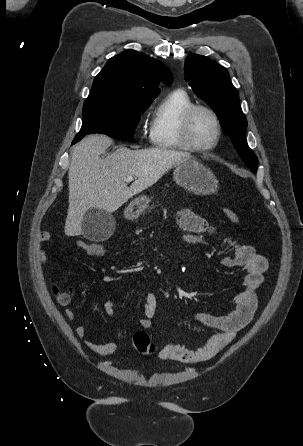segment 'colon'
<instances>
[{"mask_svg":"<svg viewBox=\"0 0 303 446\" xmlns=\"http://www.w3.org/2000/svg\"><path fill=\"white\" fill-rule=\"evenodd\" d=\"M224 214L228 220L234 224L239 223L238 214L229 208L224 209ZM106 251V247L102 243H91L89 244L86 253L92 258H101ZM131 342L134 348L140 353L146 354L154 351V345L151 342L149 336L142 331L136 332L131 336Z\"/></svg>","mask_w":303,"mask_h":446,"instance_id":"5ec220e1","label":"colon"}]
</instances>
